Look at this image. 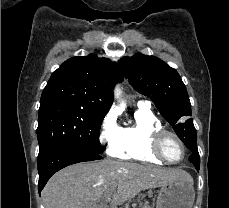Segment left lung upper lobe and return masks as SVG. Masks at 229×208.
Returning a JSON list of instances; mask_svg holds the SVG:
<instances>
[{"label":"left lung upper lobe","instance_id":"1","mask_svg":"<svg viewBox=\"0 0 229 208\" xmlns=\"http://www.w3.org/2000/svg\"><path fill=\"white\" fill-rule=\"evenodd\" d=\"M119 66L132 87L151 98L183 142L197 139L193 119L190 117L189 96L175 69L157 57L140 53L122 58Z\"/></svg>","mask_w":229,"mask_h":208}]
</instances>
